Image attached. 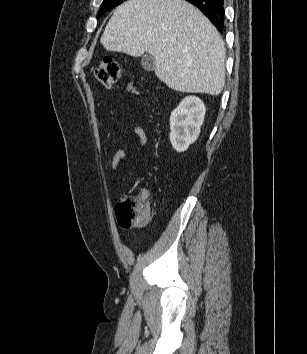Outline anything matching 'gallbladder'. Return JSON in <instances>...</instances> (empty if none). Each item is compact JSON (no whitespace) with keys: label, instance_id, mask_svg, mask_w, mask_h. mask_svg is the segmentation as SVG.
Returning a JSON list of instances; mask_svg holds the SVG:
<instances>
[{"label":"gallbladder","instance_id":"bac80fb5","mask_svg":"<svg viewBox=\"0 0 307 354\" xmlns=\"http://www.w3.org/2000/svg\"><path fill=\"white\" fill-rule=\"evenodd\" d=\"M141 66L146 71H153L155 69V59L152 55L146 54L141 58Z\"/></svg>","mask_w":307,"mask_h":354}]
</instances>
